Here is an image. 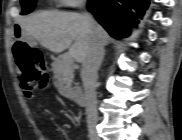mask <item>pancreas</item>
I'll list each match as a JSON object with an SVG mask.
<instances>
[{"label": "pancreas", "instance_id": "obj_1", "mask_svg": "<svg viewBox=\"0 0 182 140\" xmlns=\"http://www.w3.org/2000/svg\"><path fill=\"white\" fill-rule=\"evenodd\" d=\"M52 70L57 88L64 91L69 89L74 78L72 62H66L63 58L57 59L52 63Z\"/></svg>", "mask_w": 182, "mask_h": 140}]
</instances>
